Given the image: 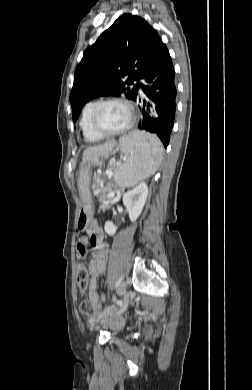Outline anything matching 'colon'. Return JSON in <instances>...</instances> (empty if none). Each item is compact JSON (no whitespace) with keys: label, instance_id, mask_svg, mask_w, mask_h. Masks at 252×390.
Listing matches in <instances>:
<instances>
[{"label":"colon","instance_id":"5ec220e1","mask_svg":"<svg viewBox=\"0 0 252 390\" xmlns=\"http://www.w3.org/2000/svg\"><path fill=\"white\" fill-rule=\"evenodd\" d=\"M81 257V256H80ZM76 280L79 289L82 292H85L89 285V272L85 266V264L80 261L77 266L76 271ZM105 295L102 296V299L105 300ZM79 309L82 313L85 314H93L94 313V305L90 300H83L79 306Z\"/></svg>","mask_w":252,"mask_h":390}]
</instances>
